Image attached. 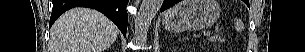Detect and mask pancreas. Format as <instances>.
I'll return each instance as SVG.
<instances>
[{
	"instance_id": "1",
	"label": "pancreas",
	"mask_w": 305,
	"mask_h": 52,
	"mask_svg": "<svg viewBox=\"0 0 305 52\" xmlns=\"http://www.w3.org/2000/svg\"><path fill=\"white\" fill-rule=\"evenodd\" d=\"M208 40H209L210 42H213V43H215L216 41H219V42H223V41H224L223 38L218 37V36H212V37H210Z\"/></svg>"
}]
</instances>
